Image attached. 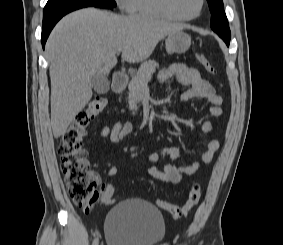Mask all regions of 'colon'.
<instances>
[{
    "label": "colon",
    "mask_w": 283,
    "mask_h": 245,
    "mask_svg": "<svg viewBox=\"0 0 283 245\" xmlns=\"http://www.w3.org/2000/svg\"><path fill=\"white\" fill-rule=\"evenodd\" d=\"M196 58L206 71L216 74L215 68L203 54L197 53ZM106 106L107 99L104 97H96L91 100L87 107L75 116L63 133L57 150L67 192L74 204L87 212L92 210L99 201L105 205L114 203V187L103 185L99 191L97 182L88 171L87 153L82 147V141L87 129ZM201 197V188L198 184H195L191 187L184 204L176 205L159 199L157 205L173 218L179 219L186 217L200 202Z\"/></svg>",
    "instance_id": "colon-1"
}]
</instances>
